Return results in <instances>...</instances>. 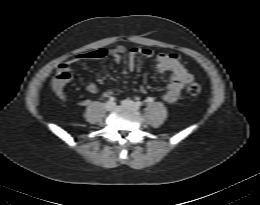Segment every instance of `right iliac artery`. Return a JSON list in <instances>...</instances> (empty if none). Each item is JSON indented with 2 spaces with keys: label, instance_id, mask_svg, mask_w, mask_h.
<instances>
[{
  "label": "right iliac artery",
  "instance_id": "right-iliac-artery-1",
  "mask_svg": "<svg viewBox=\"0 0 260 205\" xmlns=\"http://www.w3.org/2000/svg\"><path fill=\"white\" fill-rule=\"evenodd\" d=\"M115 101V98L114 97H110L109 98V102H114Z\"/></svg>",
  "mask_w": 260,
  "mask_h": 205
}]
</instances>
